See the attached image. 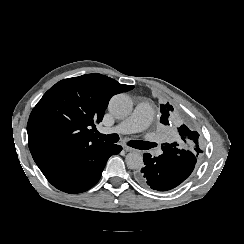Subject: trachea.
Wrapping results in <instances>:
<instances>
[{
    "label": "trachea",
    "instance_id": "obj_1",
    "mask_svg": "<svg viewBox=\"0 0 244 244\" xmlns=\"http://www.w3.org/2000/svg\"><path fill=\"white\" fill-rule=\"evenodd\" d=\"M97 137H99L100 139H102L106 142H110V143H116L119 141L118 134L104 135V134L97 133ZM129 146H131L133 148H137V149H142L143 141H131V142H129Z\"/></svg>",
    "mask_w": 244,
    "mask_h": 244
}]
</instances>
